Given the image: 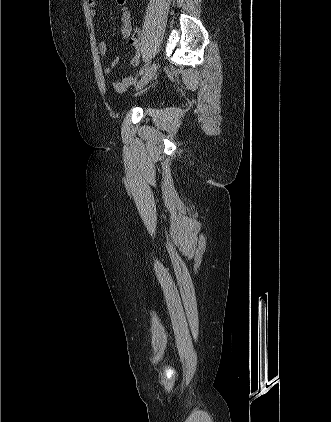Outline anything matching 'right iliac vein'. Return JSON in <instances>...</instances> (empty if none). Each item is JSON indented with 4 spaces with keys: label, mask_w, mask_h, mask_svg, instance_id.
<instances>
[{
    "label": "right iliac vein",
    "mask_w": 331,
    "mask_h": 422,
    "mask_svg": "<svg viewBox=\"0 0 331 422\" xmlns=\"http://www.w3.org/2000/svg\"><path fill=\"white\" fill-rule=\"evenodd\" d=\"M156 69H157L156 64H153L146 70L145 74L143 75L139 83L137 84L136 90L142 89L150 82V80L155 75Z\"/></svg>",
    "instance_id": "obj_1"
}]
</instances>
